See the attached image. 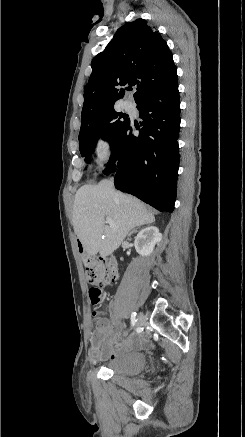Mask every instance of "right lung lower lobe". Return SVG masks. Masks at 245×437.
I'll return each instance as SVG.
<instances>
[{
	"instance_id": "right-lung-lower-lobe-1",
	"label": "right lung lower lobe",
	"mask_w": 245,
	"mask_h": 437,
	"mask_svg": "<svg viewBox=\"0 0 245 437\" xmlns=\"http://www.w3.org/2000/svg\"><path fill=\"white\" fill-rule=\"evenodd\" d=\"M142 132L132 121L123 130L104 174L116 171L115 187L157 210L172 213L179 167L180 130L178 84L136 101Z\"/></svg>"
}]
</instances>
